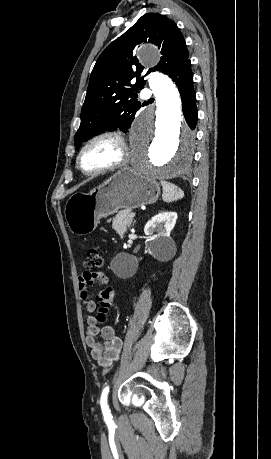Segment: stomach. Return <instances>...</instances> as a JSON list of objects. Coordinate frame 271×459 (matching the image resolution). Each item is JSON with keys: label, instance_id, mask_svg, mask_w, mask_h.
<instances>
[{"label": "stomach", "instance_id": "0dacf381", "mask_svg": "<svg viewBox=\"0 0 271 459\" xmlns=\"http://www.w3.org/2000/svg\"><path fill=\"white\" fill-rule=\"evenodd\" d=\"M160 196V184L131 168H122L90 194H73L64 214L67 226L76 235H87L120 208H139L154 204Z\"/></svg>", "mask_w": 271, "mask_h": 459}]
</instances>
